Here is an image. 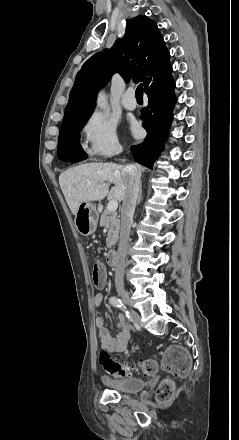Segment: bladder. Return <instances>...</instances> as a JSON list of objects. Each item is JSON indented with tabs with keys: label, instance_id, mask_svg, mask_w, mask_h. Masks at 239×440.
I'll return each mask as SVG.
<instances>
[{
	"label": "bladder",
	"instance_id": "1",
	"mask_svg": "<svg viewBox=\"0 0 239 440\" xmlns=\"http://www.w3.org/2000/svg\"><path fill=\"white\" fill-rule=\"evenodd\" d=\"M101 380L109 389L121 393H137L143 390L146 385L143 379L136 377L112 378L102 376Z\"/></svg>",
	"mask_w": 239,
	"mask_h": 440
}]
</instances>
